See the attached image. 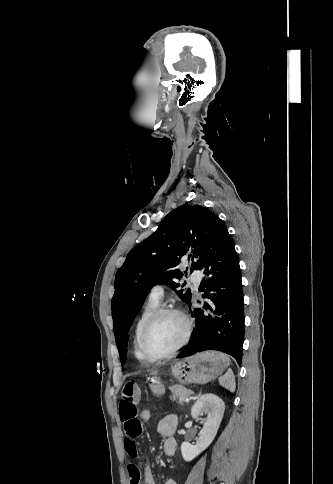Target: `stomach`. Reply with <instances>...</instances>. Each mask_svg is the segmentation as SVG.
<instances>
[{
	"label": "stomach",
	"mask_w": 333,
	"mask_h": 484,
	"mask_svg": "<svg viewBox=\"0 0 333 484\" xmlns=\"http://www.w3.org/2000/svg\"><path fill=\"white\" fill-rule=\"evenodd\" d=\"M229 365V358L216 351H206L176 361L171 366V375L182 385L207 383L222 375ZM150 389L156 395L164 392L160 375L150 372L148 375Z\"/></svg>",
	"instance_id": "0dacf381"
}]
</instances>
